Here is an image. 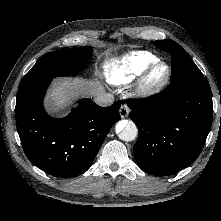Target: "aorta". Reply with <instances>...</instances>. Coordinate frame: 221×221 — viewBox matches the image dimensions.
Returning a JSON list of instances; mask_svg holds the SVG:
<instances>
[{"label": "aorta", "mask_w": 221, "mask_h": 221, "mask_svg": "<svg viewBox=\"0 0 221 221\" xmlns=\"http://www.w3.org/2000/svg\"><path fill=\"white\" fill-rule=\"evenodd\" d=\"M116 133L121 140L129 142L137 138L138 129L134 122L121 120L116 125Z\"/></svg>", "instance_id": "1"}]
</instances>
